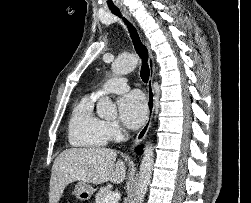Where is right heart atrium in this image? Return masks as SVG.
<instances>
[{
    "label": "right heart atrium",
    "instance_id": "1",
    "mask_svg": "<svg viewBox=\"0 0 251 203\" xmlns=\"http://www.w3.org/2000/svg\"><path fill=\"white\" fill-rule=\"evenodd\" d=\"M104 129L108 140H116L122 135V128L117 122H104Z\"/></svg>",
    "mask_w": 251,
    "mask_h": 203
}]
</instances>
